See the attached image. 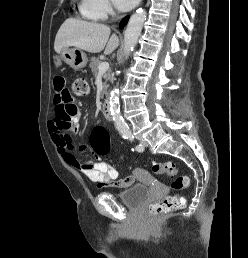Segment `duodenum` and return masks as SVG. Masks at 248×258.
<instances>
[{
  "instance_id": "duodenum-1",
  "label": "duodenum",
  "mask_w": 248,
  "mask_h": 258,
  "mask_svg": "<svg viewBox=\"0 0 248 258\" xmlns=\"http://www.w3.org/2000/svg\"><path fill=\"white\" fill-rule=\"evenodd\" d=\"M104 113L108 119H110L112 117L111 116V105H110L109 100H105V102H104Z\"/></svg>"
}]
</instances>
